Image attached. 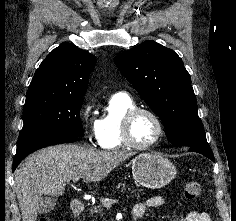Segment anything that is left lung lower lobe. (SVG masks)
I'll use <instances>...</instances> for the list:
<instances>
[{"label": "left lung lower lobe", "mask_w": 236, "mask_h": 221, "mask_svg": "<svg viewBox=\"0 0 236 221\" xmlns=\"http://www.w3.org/2000/svg\"><path fill=\"white\" fill-rule=\"evenodd\" d=\"M188 150L193 151V152H198V153L208 157L212 161H214V155L212 153V150H211L209 144H204V145H199V146H194V147H188Z\"/></svg>", "instance_id": "0a47b994"}]
</instances>
